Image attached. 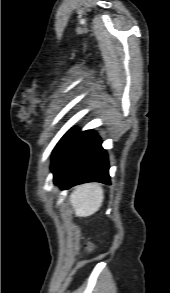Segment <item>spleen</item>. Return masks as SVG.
<instances>
[{"mask_svg": "<svg viewBox=\"0 0 170 293\" xmlns=\"http://www.w3.org/2000/svg\"><path fill=\"white\" fill-rule=\"evenodd\" d=\"M104 200L102 187L96 183L83 184L75 188L69 203L78 217L91 216L99 210Z\"/></svg>", "mask_w": 170, "mask_h": 293, "instance_id": "obj_1", "label": "spleen"}]
</instances>
